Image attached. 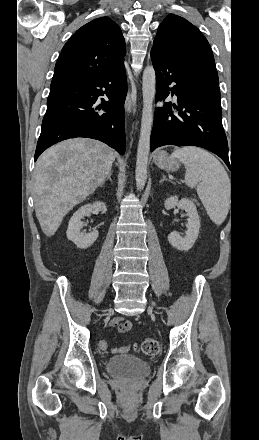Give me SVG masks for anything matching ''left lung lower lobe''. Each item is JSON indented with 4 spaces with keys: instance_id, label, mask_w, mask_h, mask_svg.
<instances>
[{
    "instance_id": "left-lung-lower-lobe-1",
    "label": "left lung lower lobe",
    "mask_w": 259,
    "mask_h": 440,
    "mask_svg": "<svg viewBox=\"0 0 259 440\" xmlns=\"http://www.w3.org/2000/svg\"><path fill=\"white\" fill-rule=\"evenodd\" d=\"M156 72V101L171 94L178 97L179 113L166 107L155 110L150 149L163 145L198 146L218 155L230 168L227 138L222 126V110L217 72L204 67L179 65L157 50L151 51ZM174 82L175 85L169 88Z\"/></svg>"
}]
</instances>
